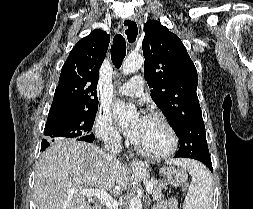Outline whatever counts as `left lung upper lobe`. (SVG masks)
Returning a JSON list of instances; mask_svg holds the SVG:
<instances>
[{"mask_svg": "<svg viewBox=\"0 0 253 209\" xmlns=\"http://www.w3.org/2000/svg\"><path fill=\"white\" fill-rule=\"evenodd\" d=\"M144 76L180 140L177 157H210L197 97V70L181 40L157 20L144 25Z\"/></svg>", "mask_w": 253, "mask_h": 209, "instance_id": "5c2ea615", "label": "left lung upper lobe"}]
</instances>
